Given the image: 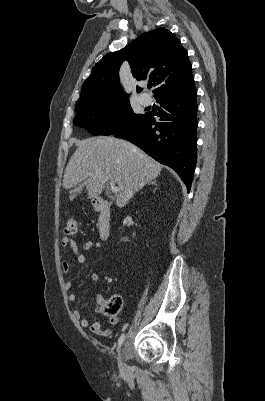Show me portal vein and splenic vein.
Masks as SVG:
<instances>
[{"label": "portal vein and splenic vein", "mask_w": 265, "mask_h": 401, "mask_svg": "<svg viewBox=\"0 0 265 401\" xmlns=\"http://www.w3.org/2000/svg\"><path fill=\"white\" fill-rule=\"evenodd\" d=\"M110 184H111L110 190H112V192H118L119 188L118 186H115V182H113V180H110Z\"/></svg>", "instance_id": "obj_1"}]
</instances>
